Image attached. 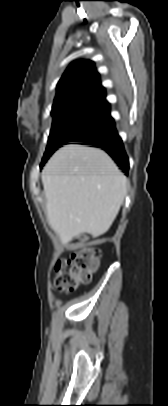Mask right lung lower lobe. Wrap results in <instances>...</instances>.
I'll use <instances>...</instances> for the list:
<instances>
[{"instance_id": "obj_1", "label": "right lung lower lobe", "mask_w": 168, "mask_h": 406, "mask_svg": "<svg viewBox=\"0 0 168 406\" xmlns=\"http://www.w3.org/2000/svg\"><path fill=\"white\" fill-rule=\"evenodd\" d=\"M77 142H80V144L91 145L93 147L103 149L112 157V159L121 167V169L125 173H128V157L124 150L122 140L115 129L114 122L96 132L83 137Z\"/></svg>"}]
</instances>
